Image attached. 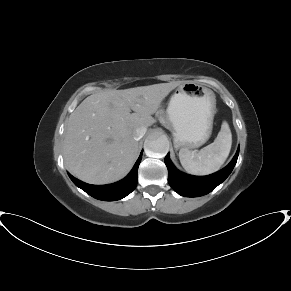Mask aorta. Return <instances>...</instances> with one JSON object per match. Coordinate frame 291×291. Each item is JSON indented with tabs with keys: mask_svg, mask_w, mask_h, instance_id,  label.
I'll return each instance as SVG.
<instances>
[{
	"mask_svg": "<svg viewBox=\"0 0 291 291\" xmlns=\"http://www.w3.org/2000/svg\"><path fill=\"white\" fill-rule=\"evenodd\" d=\"M145 152L150 157L161 158L169 150V141L164 136H153L144 143Z\"/></svg>",
	"mask_w": 291,
	"mask_h": 291,
	"instance_id": "aorta-1",
	"label": "aorta"
}]
</instances>
